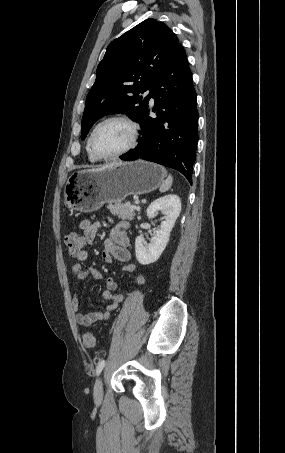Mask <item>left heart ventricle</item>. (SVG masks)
<instances>
[{"mask_svg":"<svg viewBox=\"0 0 285 453\" xmlns=\"http://www.w3.org/2000/svg\"><path fill=\"white\" fill-rule=\"evenodd\" d=\"M131 137L132 132L128 124L110 121L97 130L94 146L99 154L110 155L124 149L130 143Z\"/></svg>","mask_w":285,"mask_h":453,"instance_id":"obj_1","label":"left heart ventricle"}]
</instances>
